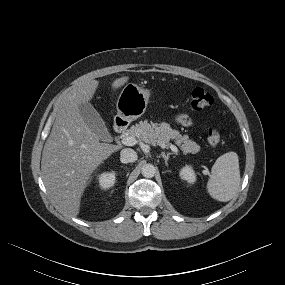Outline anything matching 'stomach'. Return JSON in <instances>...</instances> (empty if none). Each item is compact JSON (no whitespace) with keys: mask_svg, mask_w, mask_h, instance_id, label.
I'll use <instances>...</instances> for the list:
<instances>
[{"mask_svg":"<svg viewBox=\"0 0 285 285\" xmlns=\"http://www.w3.org/2000/svg\"><path fill=\"white\" fill-rule=\"evenodd\" d=\"M149 97V90L128 83L118 97L117 116L127 122L136 120L145 113Z\"/></svg>","mask_w":285,"mask_h":285,"instance_id":"0dacf381","label":"stomach"}]
</instances>
